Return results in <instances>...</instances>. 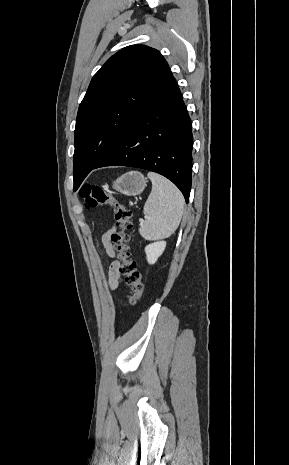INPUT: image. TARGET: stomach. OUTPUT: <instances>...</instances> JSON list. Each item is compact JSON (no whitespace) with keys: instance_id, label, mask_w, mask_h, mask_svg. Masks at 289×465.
<instances>
[{"instance_id":"obj_1","label":"stomach","mask_w":289,"mask_h":465,"mask_svg":"<svg viewBox=\"0 0 289 465\" xmlns=\"http://www.w3.org/2000/svg\"><path fill=\"white\" fill-rule=\"evenodd\" d=\"M146 178L137 171H130L113 182V188L127 196H136L143 192L146 187Z\"/></svg>"}]
</instances>
